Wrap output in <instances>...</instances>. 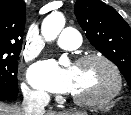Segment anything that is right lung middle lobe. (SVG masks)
Returning a JSON list of instances; mask_svg holds the SVG:
<instances>
[{
  "instance_id": "1",
  "label": "right lung middle lobe",
  "mask_w": 131,
  "mask_h": 115,
  "mask_svg": "<svg viewBox=\"0 0 131 115\" xmlns=\"http://www.w3.org/2000/svg\"><path fill=\"white\" fill-rule=\"evenodd\" d=\"M20 52H8L0 54V95L9 98L18 95L17 58Z\"/></svg>"
}]
</instances>
